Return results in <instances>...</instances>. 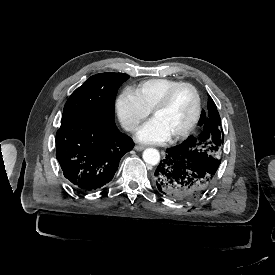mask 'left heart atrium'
I'll return each instance as SVG.
<instances>
[{
    "label": "left heart atrium",
    "instance_id": "39dd6f15",
    "mask_svg": "<svg viewBox=\"0 0 275 275\" xmlns=\"http://www.w3.org/2000/svg\"><path fill=\"white\" fill-rule=\"evenodd\" d=\"M136 138L141 142L156 143L167 140L169 136L155 120H151L137 131Z\"/></svg>",
    "mask_w": 275,
    "mask_h": 275
}]
</instances>
